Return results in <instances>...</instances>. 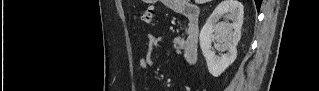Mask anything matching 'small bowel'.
Here are the masks:
<instances>
[{"instance_id":"1","label":"small bowel","mask_w":319,"mask_h":91,"mask_svg":"<svg viewBox=\"0 0 319 91\" xmlns=\"http://www.w3.org/2000/svg\"><path fill=\"white\" fill-rule=\"evenodd\" d=\"M160 41V37L156 34L150 33L147 36L146 55L139 62L141 69L146 70L153 63V53L158 47Z\"/></svg>"}]
</instances>
